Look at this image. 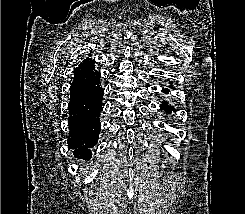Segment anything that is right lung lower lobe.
Masks as SVG:
<instances>
[{
    "instance_id": "right-lung-lower-lobe-1",
    "label": "right lung lower lobe",
    "mask_w": 245,
    "mask_h": 214,
    "mask_svg": "<svg viewBox=\"0 0 245 214\" xmlns=\"http://www.w3.org/2000/svg\"><path fill=\"white\" fill-rule=\"evenodd\" d=\"M74 80L70 88L69 137L68 145L79 159L89 160L90 148L98 141L101 124L104 90L99 85L100 75L93 80H83L79 67L74 71Z\"/></svg>"
}]
</instances>
